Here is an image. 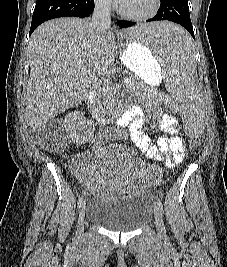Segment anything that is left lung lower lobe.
<instances>
[{
  "instance_id": "0a47b994",
  "label": "left lung lower lobe",
  "mask_w": 227,
  "mask_h": 267,
  "mask_svg": "<svg viewBox=\"0 0 227 267\" xmlns=\"http://www.w3.org/2000/svg\"><path fill=\"white\" fill-rule=\"evenodd\" d=\"M172 21L182 25L194 38V31L190 19L188 0H161L160 9L157 14L147 20V22L153 21ZM135 22L118 21V25L122 28H127L135 25ZM173 47L176 50H183L192 47V42L183 40H172Z\"/></svg>"
}]
</instances>
